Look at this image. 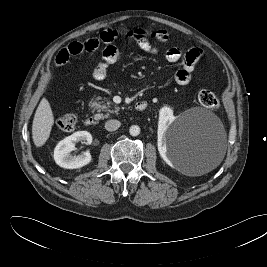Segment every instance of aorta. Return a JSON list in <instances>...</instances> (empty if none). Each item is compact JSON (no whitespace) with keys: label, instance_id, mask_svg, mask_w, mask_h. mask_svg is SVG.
<instances>
[{"label":"aorta","instance_id":"obj_1","mask_svg":"<svg viewBox=\"0 0 267 267\" xmlns=\"http://www.w3.org/2000/svg\"><path fill=\"white\" fill-rule=\"evenodd\" d=\"M131 136H138L140 134V127L137 125H132L129 129Z\"/></svg>","mask_w":267,"mask_h":267}]
</instances>
